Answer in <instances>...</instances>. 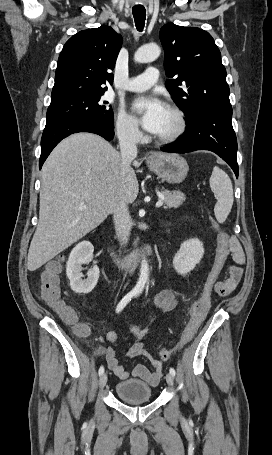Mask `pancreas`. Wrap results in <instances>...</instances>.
<instances>
[{"label": "pancreas", "mask_w": 272, "mask_h": 455, "mask_svg": "<svg viewBox=\"0 0 272 455\" xmlns=\"http://www.w3.org/2000/svg\"><path fill=\"white\" fill-rule=\"evenodd\" d=\"M163 195L165 197V206L164 208H177L183 204L186 197L185 194L181 191H163Z\"/></svg>", "instance_id": "1"}]
</instances>
